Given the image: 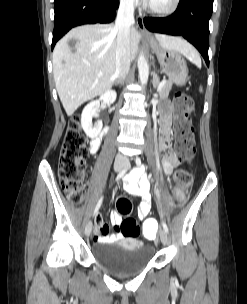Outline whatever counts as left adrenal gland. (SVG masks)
<instances>
[{
  "mask_svg": "<svg viewBox=\"0 0 247 304\" xmlns=\"http://www.w3.org/2000/svg\"><path fill=\"white\" fill-rule=\"evenodd\" d=\"M152 75H153V80H152L153 87H154L155 89H157L158 84H159V77H158V75L155 73V71L152 72Z\"/></svg>",
  "mask_w": 247,
  "mask_h": 304,
  "instance_id": "left-adrenal-gland-1",
  "label": "left adrenal gland"
}]
</instances>
